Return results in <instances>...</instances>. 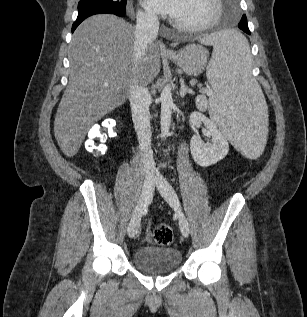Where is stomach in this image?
Segmentation results:
<instances>
[{
    "label": "stomach",
    "instance_id": "1",
    "mask_svg": "<svg viewBox=\"0 0 307 317\" xmlns=\"http://www.w3.org/2000/svg\"><path fill=\"white\" fill-rule=\"evenodd\" d=\"M209 53L201 45L191 44L183 50L169 55L168 58L178 65L187 75L198 76L205 69Z\"/></svg>",
    "mask_w": 307,
    "mask_h": 317
}]
</instances>
